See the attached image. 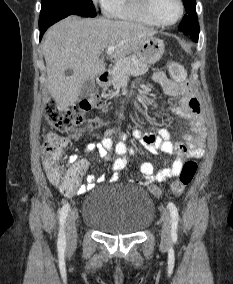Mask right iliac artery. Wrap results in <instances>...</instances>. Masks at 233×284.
<instances>
[{
	"label": "right iliac artery",
	"instance_id": "82829eb1",
	"mask_svg": "<svg viewBox=\"0 0 233 284\" xmlns=\"http://www.w3.org/2000/svg\"><path fill=\"white\" fill-rule=\"evenodd\" d=\"M69 209H70V205L66 203L62 206L60 213H59L60 230H59V235H58V249L60 251H64L66 247L64 224H65Z\"/></svg>",
	"mask_w": 233,
	"mask_h": 284
}]
</instances>
